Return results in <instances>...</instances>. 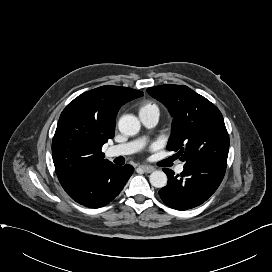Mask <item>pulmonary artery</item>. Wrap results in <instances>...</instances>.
<instances>
[{
	"instance_id": "e3ab8cb5",
	"label": "pulmonary artery",
	"mask_w": 272,
	"mask_h": 272,
	"mask_svg": "<svg viewBox=\"0 0 272 272\" xmlns=\"http://www.w3.org/2000/svg\"><path fill=\"white\" fill-rule=\"evenodd\" d=\"M139 118L142 124L147 128H153L157 125L159 120V111L150 110L145 112H139ZM144 144V139H138L128 143L111 146L107 149V157L126 156L138 151ZM184 169L183 164H179L176 167V172L180 173Z\"/></svg>"
}]
</instances>
